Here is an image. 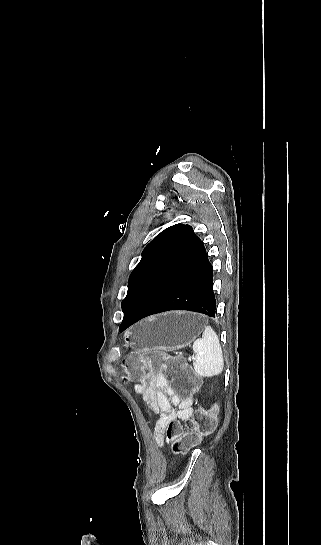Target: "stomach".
<instances>
[{
  "mask_svg": "<svg viewBox=\"0 0 321 545\" xmlns=\"http://www.w3.org/2000/svg\"><path fill=\"white\" fill-rule=\"evenodd\" d=\"M206 325V317L187 311H171L139 321L123 333V347L133 351H178L192 343Z\"/></svg>",
  "mask_w": 321,
  "mask_h": 545,
  "instance_id": "stomach-1",
  "label": "stomach"
}]
</instances>
